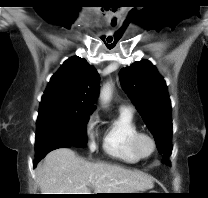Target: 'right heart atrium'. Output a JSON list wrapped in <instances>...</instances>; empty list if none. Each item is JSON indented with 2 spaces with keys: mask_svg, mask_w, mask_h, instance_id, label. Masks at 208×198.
<instances>
[{
  "mask_svg": "<svg viewBox=\"0 0 208 198\" xmlns=\"http://www.w3.org/2000/svg\"><path fill=\"white\" fill-rule=\"evenodd\" d=\"M98 122V115L96 113H93L92 115H90L85 125V132L88 137V144L91 150H95L96 148Z\"/></svg>",
  "mask_w": 208,
  "mask_h": 198,
  "instance_id": "obj_1",
  "label": "right heart atrium"
}]
</instances>
